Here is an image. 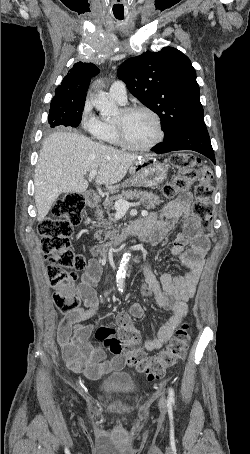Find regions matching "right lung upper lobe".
<instances>
[{"label": "right lung upper lobe", "mask_w": 250, "mask_h": 454, "mask_svg": "<svg viewBox=\"0 0 250 454\" xmlns=\"http://www.w3.org/2000/svg\"><path fill=\"white\" fill-rule=\"evenodd\" d=\"M98 73L99 69L93 63H75L55 90L53 99L70 102L85 100L90 80Z\"/></svg>", "instance_id": "1"}]
</instances>
